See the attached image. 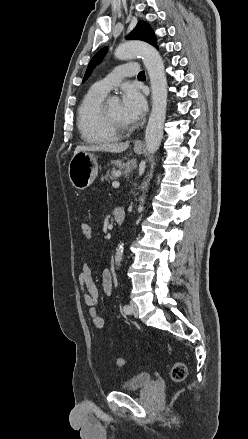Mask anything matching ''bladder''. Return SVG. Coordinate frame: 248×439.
<instances>
[{
    "instance_id": "obj_1",
    "label": "bladder",
    "mask_w": 248,
    "mask_h": 439,
    "mask_svg": "<svg viewBox=\"0 0 248 439\" xmlns=\"http://www.w3.org/2000/svg\"><path fill=\"white\" fill-rule=\"evenodd\" d=\"M153 381V375L149 372H139L132 378L121 384L120 390L130 392L143 389L149 386Z\"/></svg>"
}]
</instances>
